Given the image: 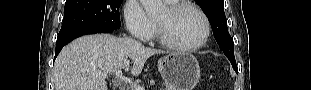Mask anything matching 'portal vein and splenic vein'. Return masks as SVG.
Returning <instances> with one entry per match:
<instances>
[{
  "label": "portal vein and splenic vein",
  "mask_w": 311,
  "mask_h": 90,
  "mask_svg": "<svg viewBox=\"0 0 311 90\" xmlns=\"http://www.w3.org/2000/svg\"><path fill=\"white\" fill-rule=\"evenodd\" d=\"M100 76H102L103 78H107L108 75L107 74H100ZM115 77L120 80V81H124L127 82L129 84H131V88L132 90H144L143 87L139 86V85H134L133 82L129 79L123 76L122 70H117L115 72Z\"/></svg>",
  "instance_id": "obj_1"
}]
</instances>
